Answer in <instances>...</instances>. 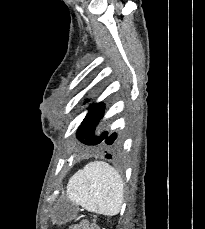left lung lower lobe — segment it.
Listing matches in <instances>:
<instances>
[{
  "label": "left lung lower lobe",
  "instance_id": "0a47b994",
  "mask_svg": "<svg viewBox=\"0 0 205 229\" xmlns=\"http://www.w3.org/2000/svg\"><path fill=\"white\" fill-rule=\"evenodd\" d=\"M98 139H103V144L110 145L107 147V149L104 151L105 153H112L113 155H117L118 152V141L117 135L115 133L108 135V132H104L100 136H98ZM111 154H106V158L111 159Z\"/></svg>",
  "mask_w": 205,
  "mask_h": 229
}]
</instances>
